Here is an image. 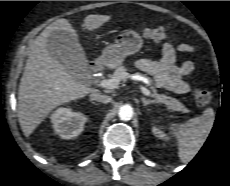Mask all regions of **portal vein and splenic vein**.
<instances>
[{"label": "portal vein and splenic vein", "instance_id": "portal-vein-and-splenic-vein-1", "mask_svg": "<svg viewBox=\"0 0 230 186\" xmlns=\"http://www.w3.org/2000/svg\"><path fill=\"white\" fill-rule=\"evenodd\" d=\"M127 77H128V73H125L123 75V78H127ZM119 83H120V79L114 77L112 79L101 80L100 86L106 89H115L118 87ZM140 88L144 95L146 96L150 95V91L146 87L141 86Z\"/></svg>", "mask_w": 230, "mask_h": 186}]
</instances>
